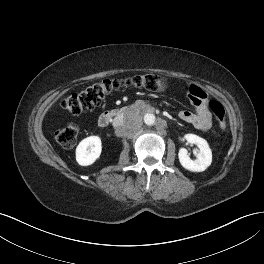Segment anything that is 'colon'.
<instances>
[{
	"mask_svg": "<svg viewBox=\"0 0 264 264\" xmlns=\"http://www.w3.org/2000/svg\"><path fill=\"white\" fill-rule=\"evenodd\" d=\"M125 87L142 88L153 92L164 91L167 87L166 81L155 74L136 75L122 79H104L86 89L67 96L61 102L64 110L72 114H80L92 110L112 92ZM209 108L214 114L220 128L226 129L225 111L216 101L209 102ZM79 129L71 124L57 128L54 132L56 141L64 148H72L76 145Z\"/></svg>",
	"mask_w": 264,
	"mask_h": 264,
	"instance_id": "obj_1",
	"label": "colon"
}]
</instances>
